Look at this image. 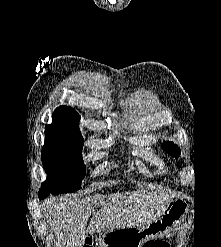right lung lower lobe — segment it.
I'll return each instance as SVG.
<instances>
[{
  "instance_id": "1",
  "label": "right lung lower lobe",
  "mask_w": 221,
  "mask_h": 247,
  "mask_svg": "<svg viewBox=\"0 0 221 247\" xmlns=\"http://www.w3.org/2000/svg\"><path fill=\"white\" fill-rule=\"evenodd\" d=\"M49 194H50V192H48V191L40 190V191H39V194H38V197H39V199H44V198H46Z\"/></svg>"
}]
</instances>
